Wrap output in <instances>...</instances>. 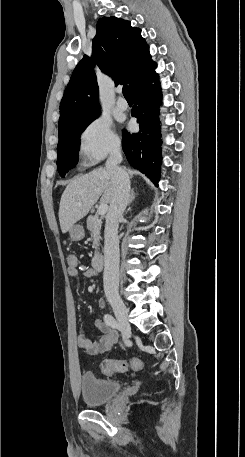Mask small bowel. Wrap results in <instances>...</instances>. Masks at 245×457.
Returning <instances> with one entry per match:
<instances>
[{
    "label": "small bowel",
    "mask_w": 245,
    "mask_h": 457,
    "mask_svg": "<svg viewBox=\"0 0 245 457\" xmlns=\"http://www.w3.org/2000/svg\"><path fill=\"white\" fill-rule=\"evenodd\" d=\"M68 274L70 277H77L81 275L83 277L90 278L95 276L94 271L85 268H69ZM98 306L103 308L105 306V300L102 298L99 299ZM95 324L96 327L104 334L99 341H91L82 333L79 334L77 339L78 347L89 355H98L109 351L118 339V333L111 329L104 319H96Z\"/></svg>",
    "instance_id": "1"
}]
</instances>
